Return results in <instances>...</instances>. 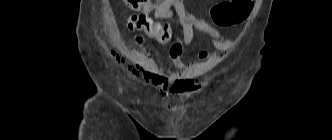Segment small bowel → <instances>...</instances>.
<instances>
[{"label":"small bowel","mask_w":332,"mask_h":140,"mask_svg":"<svg viewBox=\"0 0 332 140\" xmlns=\"http://www.w3.org/2000/svg\"><path fill=\"white\" fill-rule=\"evenodd\" d=\"M152 9V7L145 8V12H150ZM172 10H175L179 17L181 35L178 37L172 35L168 38L162 36L152 38L161 44L171 43L169 55L174 69L165 72L156 63L151 62L146 67L145 75L163 91L176 93L185 90L190 81L189 66L184 63L183 57L193 41L195 31L206 35L207 41L216 49L228 50L233 46V42L226 39L220 31L206 21L197 19L189 11L187 0H161L154 9V13L156 18L167 19L171 17ZM199 58L202 61L206 60L208 53L206 51L200 52Z\"/></svg>","instance_id":"c3829d8e"}]
</instances>
